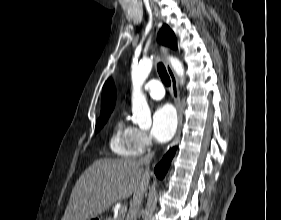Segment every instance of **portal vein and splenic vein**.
I'll return each mask as SVG.
<instances>
[{"mask_svg": "<svg viewBox=\"0 0 281 220\" xmlns=\"http://www.w3.org/2000/svg\"><path fill=\"white\" fill-rule=\"evenodd\" d=\"M126 211V207L125 206H121L119 209V213H124Z\"/></svg>", "mask_w": 281, "mask_h": 220, "instance_id": "18ae733b", "label": "portal vein and splenic vein"}]
</instances>
